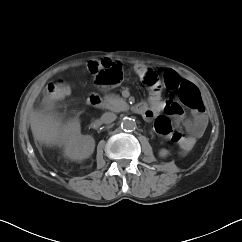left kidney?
<instances>
[{"label": "left kidney", "instance_id": "1", "mask_svg": "<svg viewBox=\"0 0 242 242\" xmlns=\"http://www.w3.org/2000/svg\"><path fill=\"white\" fill-rule=\"evenodd\" d=\"M168 154H169V152H168V150H166V149H161V150L159 151V156H160L161 158H165V157H167Z\"/></svg>", "mask_w": 242, "mask_h": 242}]
</instances>
